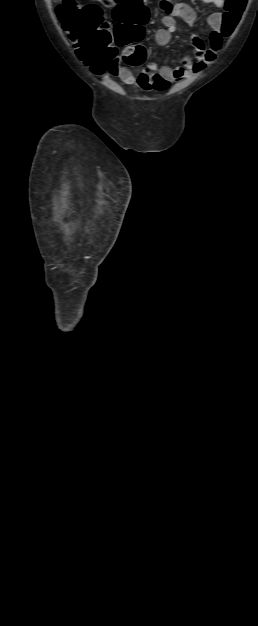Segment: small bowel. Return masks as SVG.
I'll list each match as a JSON object with an SVG mask.
<instances>
[{
    "label": "small bowel",
    "mask_w": 258,
    "mask_h": 626,
    "mask_svg": "<svg viewBox=\"0 0 258 626\" xmlns=\"http://www.w3.org/2000/svg\"><path fill=\"white\" fill-rule=\"evenodd\" d=\"M204 3L213 4L217 8H223L225 0H202ZM160 10L164 13L162 27L155 33V40L159 46H166L171 35L176 31V20L181 19L191 26L196 20V11L186 3H174L171 0H160ZM223 14L215 12L208 16L207 23L210 27L208 45L198 36H192L190 43L193 47V57H186L182 64L177 67L158 66L154 63L148 66L149 72L143 71L134 74L124 67L119 59L114 60L108 67V72L119 78L123 83L134 86L141 91H165L171 84L198 73L208 64L212 63L222 47L224 35L222 34Z\"/></svg>",
    "instance_id": "c3829d8e"
}]
</instances>
